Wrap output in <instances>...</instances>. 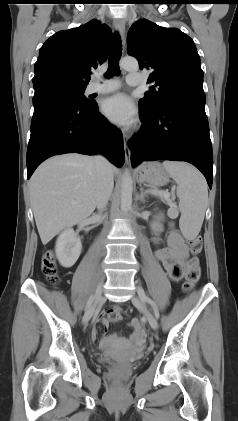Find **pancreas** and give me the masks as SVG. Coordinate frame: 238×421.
Returning a JSON list of instances; mask_svg holds the SVG:
<instances>
[{
	"mask_svg": "<svg viewBox=\"0 0 238 421\" xmlns=\"http://www.w3.org/2000/svg\"><path fill=\"white\" fill-rule=\"evenodd\" d=\"M159 198L162 200V202L166 203L167 205H169V206L173 205V202L170 199V197L169 198H165L163 196H160Z\"/></svg>",
	"mask_w": 238,
	"mask_h": 421,
	"instance_id": "cf45deb5",
	"label": "pancreas"
}]
</instances>
